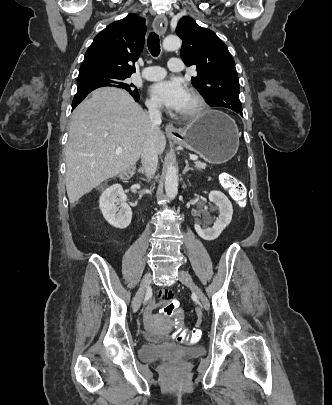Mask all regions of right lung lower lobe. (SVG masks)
Here are the masks:
<instances>
[{
    "label": "right lung lower lobe",
    "instance_id": "obj_1",
    "mask_svg": "<svg viewBox=\"0 0 332 405\" xmlns=\"http://www.w3.org/2000/svg\"><path fill=\"white\" fill-rule=\"evenodd\" d=\"M99 87H92L83 91H77L76 95L74 96L73 102H72V110L76 108V106L93 90L97 89ZM135 101H139V95L136 93H131L129 92Z\"/></svg>",
    "mask_w": 332,
    "mask_h": 405
}]
</instances>
